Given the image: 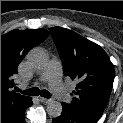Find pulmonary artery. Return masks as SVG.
Masks as SVG:
<instances>
[{
  "mask_svg": "<svg viewBox=\"0 0 123 123\" xmlns=\"http://www.w3.org/2000/svg\"><path fill=\"white\" fill-rule=\"evenodd\" d=\"M41 81H48L51 90L63 102H70L71 96L61 81V66L59 61L51 60L42 72Z\"/></svg>",
  "mask_w": 123,
  "mask_h": 123,
  "instance_id": "e3ab8cb5",
  "label": "pulmonary artery"
}]
</instances>
